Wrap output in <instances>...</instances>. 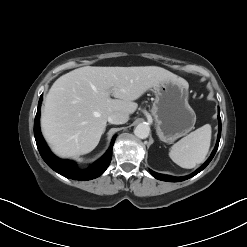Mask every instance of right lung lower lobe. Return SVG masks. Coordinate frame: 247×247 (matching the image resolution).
<instances>
[{
	"label": "right lung lower lobe",
	"mask_w": 247,
	"mask_h": 247,
	"mask_svg": "<svg viewBox=\"0 0 247 247\" xmlns=\"http://www.w3.org/2000/svg\"><path fill=\"white\" fill-rule=\"evenodd\" d=\"M41 101H42V96L40 97L38 103L37 114L34 121V136L40 155L43 158V160L47 163V165L57 173L63 175L64 177L75 180H91L102 175L110 164L112 158V147L115 140V136L112 139L110 148L101 159H99L89 169L79 170L73 161L62 160L54 156L50 152L48 146L46 145L41 135L40 126H39Z\"/></svg>",
	"instance_id": "1"
}]
</instances>
